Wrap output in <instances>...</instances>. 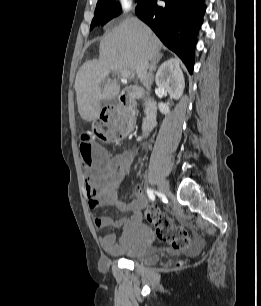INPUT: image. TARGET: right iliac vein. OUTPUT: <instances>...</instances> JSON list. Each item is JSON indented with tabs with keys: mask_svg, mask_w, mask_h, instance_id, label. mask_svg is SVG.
Listing matches in <instances>:
<instances>
[{
	"mask_svg": "<svg viewBox=\"0 0 261 306\" xmlns=\"http://www.w3.org/2000/svg\"><path fill=\"white\" fill-rule=\"evenodd\" d=\"M158 189L160 193L163 195H167L169 193V185L165 179H161L158 183Z\"/></svg>",
	"mask_w": 261,
	"mask_h": 306,
	"instance_id": "obj_1",
	"label": "right iliac vein"
}]
</instances>
